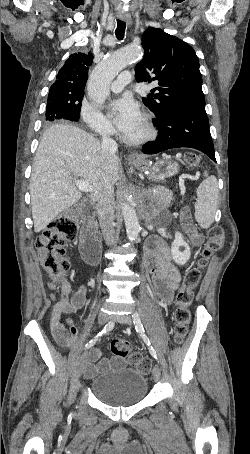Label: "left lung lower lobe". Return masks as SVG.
I'll list each match as a JSON object with an SVG mask.
<instances>
[{"label":"left lung lower lobe","mask_w":250,"mask_h":454,"mask_svg":"<svg viewBox=\"0 0 250 454\" xmlns=\"http://www.w3.org/2000/svg\"><path fill=\"white\" fill-rule=\"evenodd\" d=\"M153 124L159 131L158 136L142 147L143 153L156 154L171 148L189 147L202 151L216 162L205 107L178 109Z\"/></svg>","instance_id":"1"}]
</instances>
